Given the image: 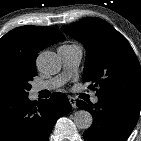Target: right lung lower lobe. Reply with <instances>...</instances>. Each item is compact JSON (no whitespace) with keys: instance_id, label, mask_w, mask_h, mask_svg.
<instances>
[{"instance_id":"obj_1","label":"right lung lower lobe","mask_w":141,"mask_h":141,"mask_svg":"<svg viewBox=\"0 0 141 141\" xmlns=\"http://www.w3.org/2000/svg\"><path fill=\"white\" fill-rule=\"evenodd\" d=\"M71 111L63 93L41 102L28 96L0 99V141H48L57 119Z\"/></svg>"}]
</instances>
